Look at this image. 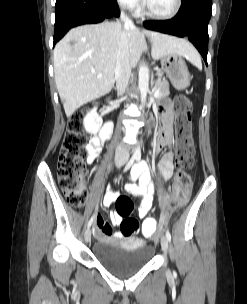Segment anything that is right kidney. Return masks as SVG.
Returning <instances> with one entry per match:
<instances>
[{"mask_svg":"<svg viewBox=\"0 0 247 304\" xmlns=\"http://www.w3.org/2000/svg\"><path fill=\"white\" fill-rule=\"evenodd\" d=\"M97 107H94L92 110H90L83 121V125L85 130L89 134H97L100 130L103 120L102 117L97 114Z\"/></svg>","mask_w":247,"mask_h":304,"instance_id":"right-kidney-1","label":"right kidney"}]
</instances>
